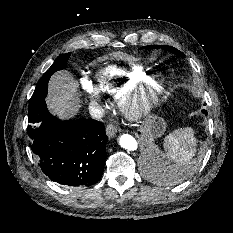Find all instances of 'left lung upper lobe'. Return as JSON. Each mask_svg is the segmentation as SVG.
Returning a JSON list of instances; mask_svg holds the SVG:
<instances>
[{"mask_svg":"<svg viewBox=\"0 0 233 233\" xmlns=\"http://www.w3.org/2000/svg\"><path fill=\"white\" fill-rule=\"evenodd\" d=\"M160 47H161L162 49L168 50V51H170V52L176 54V55L179 56V57H183V56H184L182 52H180L179 50H177L176 48L171 47V46H166V45H162V46H160V45H150V46H146V48H150V49H155V48H160Z\"/></svg>","mask_w":233,"mask_h":233,"instance_id":"obj_1","label":"left lung upper lobe"}]
</instances>
